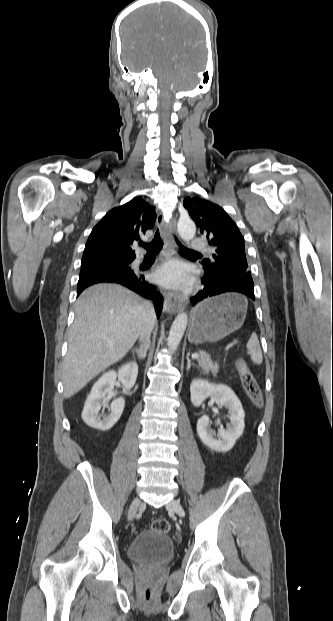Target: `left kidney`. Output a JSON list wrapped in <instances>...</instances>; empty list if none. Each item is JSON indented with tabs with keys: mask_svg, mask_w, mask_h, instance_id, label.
<instances>
[{
	"mask_svg": "<svg viewBox=\"0 0 333 621\" xmlns=\"http://www.w3.org/2000/svg\"><path fill=\"white\" fill-rule=\"evenodd\" d=\"M191 402L194 406H200L208 397L215 403L228 409L230 423L226 429L220 427L216 439L211 430L208 416H202L197 422V433L202 442L211 450L227 452L232 449L236 440L244 430L245 412L242 404L231 388L223 384H214L206 380H193L190 386Z\"/></svg>",
	"mask_w": 333,
	"mask_h": 621,
	"instance_id": "1",
	"label": "left kidney"
}]
</instances>
